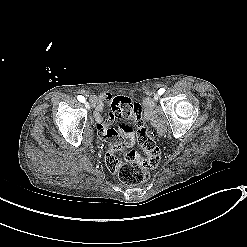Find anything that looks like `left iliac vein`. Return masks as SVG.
Here are the masks:
<instances>
[{"label": "left iliac vein", "instance_id": "1", "mask_svg": "<svg viewBox=\"0 0 247 247\" xmlns=\"http://www.w3.org/2000/svg\"><path fill=\"white\" fill-rule=\"evenodd\" d=\"M159 98H160V95H159V94H155V95H154V100H155V101H158Z\"/></svg>", "mask_w": 247, "mask_h": 247}]
</instances>
